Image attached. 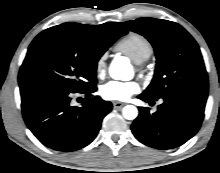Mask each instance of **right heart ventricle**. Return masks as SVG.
Masks as SVG:
<instances>
[{
    "label": "right heart ventricle",
    "mask_w": 220,
    "mask_h": 173,
    "mask_svg": "<svg viewBox=\"0 0 220 173\" xmlns=\"http://www.w3.org/2000/svg\"><path fill=\"white\" fill-rule=\"evenodd\" d=\"M115 49L130 57L137 64L146 61L153 53L150 41L138 33H130L124 37Z\"/></svg>",
    "instance_id": "1"
}]
</instances>
